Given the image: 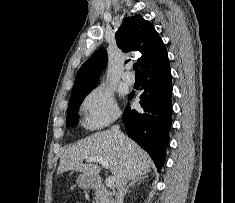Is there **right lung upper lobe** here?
Returning a JSON list of instances; mask_svg holds the SVG:
<instances>
[{"mask_svg": "<svg viewBox=\"0 0 235 203\" xmlns=\"http://www.w3.org/2000/svg\"><path fill=\"white\" fill-rule=\"evenodd\" d=\"M116 43L123 52L139 51L142 54L138 60L142 71L168 56L153 24L140 15L123 20L116 32ZM106 63L107 52L100 48L79 68L71 94L96 85Z\"/></svg>", "mask_w": 235, "mask_h": 203, "instance_id": "obj_1", "label": "right lung upper lobe"}]
</instances>
